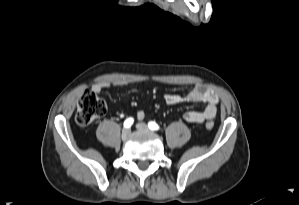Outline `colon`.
Instances as JSON below:
<instances>
[{
  "label": "colon",
  "instance_id": "colon-1",
  "mask_svg": "<svg viewBox=\"0 0 299 205\" xmlns=\"http://www.w3.org/2000/svg\"><path fill=\"white\" fill-rule=\"evenodd\" d=\"M106 101L95 92L88 90L84 92L78 102L76 122L80 126H87L93 123L106 113ZM207 130H212L214 123L208 120L205 124Z\"/></svg>",
  "mask_w": 299,
  "mask_h": 205
}]
</instances>
